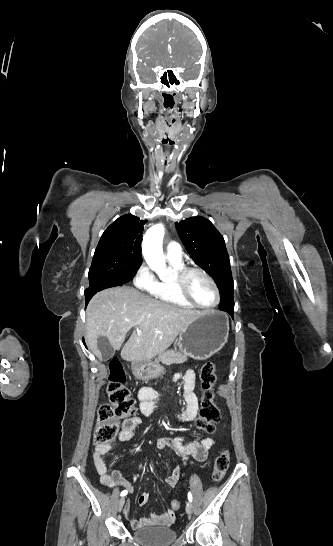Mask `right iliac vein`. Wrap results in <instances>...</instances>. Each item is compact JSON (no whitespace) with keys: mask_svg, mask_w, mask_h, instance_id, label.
<instances>
[{"mask_svg":"<svg viewBox=\"0 0 333 546\" xmlns=\"http://www.w3.org/2000/svg\"><path fill=\"white\" fill-rule=\"evenodd\" d=\"M124 503H125V498L124 497L120 498L119 501H118V511L119 512L122 510Z\"/></svg>","mask_w":333,"mask_h":546,"instance_id":"right-iliac-vein-1","label":"right iliac vein"}]
</instances>
